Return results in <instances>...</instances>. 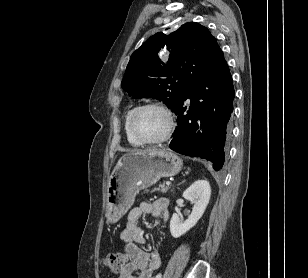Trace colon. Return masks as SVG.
Masks as SVG:
<instances>
[{"label": "colon", "instance_id": "colon-1", "mask_svg": "<svg viewBox=\"0 0 308 278\" xmlns=\"http://www.w3.org/2000/svg\"><path fill=\"white\" fill-rule=\"evenodd\" d=\"M128 256L124 252H113L105 256L104 263L110 272L119 274L127 264Z\"/></svg>", "mask_w": 308, "mask_h": 278}]
</instances>
